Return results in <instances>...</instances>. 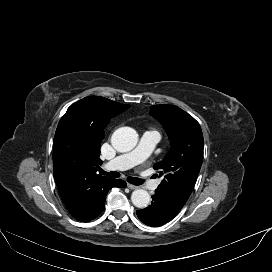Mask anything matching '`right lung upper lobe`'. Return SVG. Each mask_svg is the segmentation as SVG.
<instances>
[{"mask_svg":"<svg viewBox=\"0 0 272 272\" xmlns=\"http://www.w3.org/2000/svg\"><path fill=\"white\" fill-rule=\"evenodd\" d=\"M130 105L98 96L71 105L56 129L53 174L60 196L74 218L88 221L98 210L113 179L96 173L104 128Z\"/></svg>","mask_w":272,"mask_h":272,"instance_id":"1","label":"right lung upper lobe"}]
</instances>
